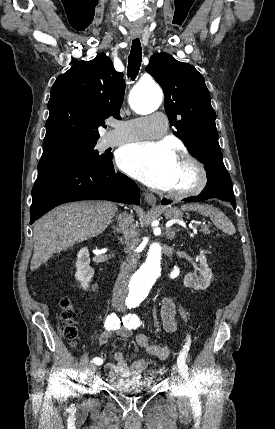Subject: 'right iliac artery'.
<instances>
[{"label":"right iliac artery","instance_id":"82829eb1","mask_svg":"<svg viewBox=\"0 0 275 429\" xmlns=\"http://www.w3.org/2000/svg\"><path fill=\"white\" fill-rule=\"evenodd\" d=\"M104 327L108 331L117 330L120 328V320L115 313L108 315ZM92 362H94L96 365H101L103 363V360L100 357H95L93 358Z\"/></svg>","mask_w":275,"mask_h":429}]
</instances>
